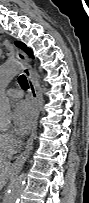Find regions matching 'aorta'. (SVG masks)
Wrapping results in <instances>:
<instances>
[{"instance_id": "aorta-1", "label": "aorta", "mask_w": 89, "mask_h": 203, "mask_svg": "<svg viewBox=\"0 0 89 203\" xmlns=\"http://www.w3.org/2000/svg\"><path fill=\"white\" fill-rule=\"evenodd\" d=\"M22 65L15 60L7 61L0 69V84L7 86L8 83L19 73ZM12 120V109L9 99L5 95L0 96V127L8 129ZM26 180V172L16 175L8 186L7 193L2 203H19Z\"/></svg>"}]
</instances>
